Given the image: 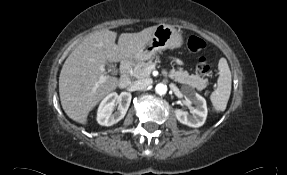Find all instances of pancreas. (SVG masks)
<instances>
[{"instance_id": "obj_1", "label": "pancreas", "mask_w": 287, "mask_h": 175, "mask_svg": "<svg viewBox=\"0 0 287 175\" xmlns=\"http://www.w3.org/2000/svg\"><path fill=\"white\" fill-rule=\"evenodd\" d=\"M150 59L147 62L138 63L133 69V75L138 79L149 77L150 74L144 73V70L151 66L155 65L156 62L159 61V57L156 56V61L153 62ZM169 77L173 79L175 82L189 85L192 88H196L198 91H202L206 88L208 81L206 79L201 78L199 75L189 74L187 71H184L182 68H178V70L172 69L169 72Z\"/></svg>"}]
</instances>
